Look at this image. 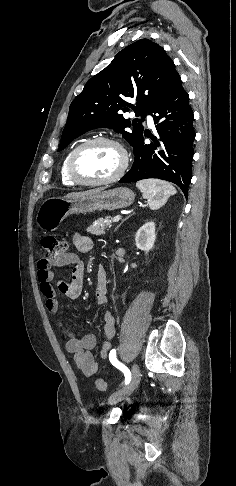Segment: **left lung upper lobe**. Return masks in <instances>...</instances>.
<instances>
[{
  "label": "left lung upper lobe",
  "instance_id": "1",
  "mask_svg": "<svg viewBox=\"0 0 236 486\" xmlns=\"http://www.w3.org/2000/svg\"><path fill=\"white\" fill-rule=\"evenodd\" d=\"M178 77L173 61L157 43L141 39L127 46L86 83L71 103L58 151L85 132L100 127L122 133L134 147L143 134L141 121L150 106ZM130 97H136V106L128 103ZM128 107L142 119H125L120 111L126 112ZM131 126L132 133L124 130Z\"/></svg>",
  "mask_w": 236,
  "mask_h": 486
}]
</instances>
